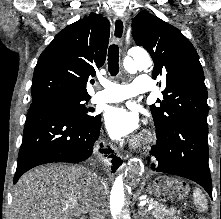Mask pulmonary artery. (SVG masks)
Listing matches in <instances>:
<instances>
[{"label":"pulmonary artery","instance_id":"e3ab8cb5","mask_svg":"<svg viewBox=\"0 0 221 219\" xmlns=\"http://www.w3.org/2000/svg\"><path fill=\"white\" fill-rule=\"evenodd\" d=\"M100 84L103 90L92 96V103H111L129 99L139 94L151 92L153 85L148 75L136 76L134 82L129 85L116 84L107 80H102Z\"/></svg>","mask_w":221,"mask_h":219}]
</instances>
